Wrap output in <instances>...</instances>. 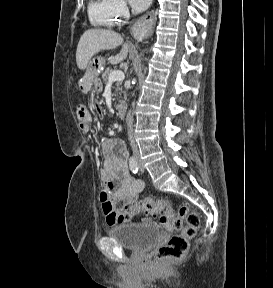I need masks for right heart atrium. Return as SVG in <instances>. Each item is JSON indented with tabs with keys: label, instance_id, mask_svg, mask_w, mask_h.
<instances>
[{
	"label": "right heart atrium",
	"instance_id": "right-heart-atrium-1",
	"mask_svg": "<svg viewBox=\"0 0 273 288\" xmlns=\"http://www.w3.org/2000/svg\"><path fill=\"white\" fill-rule=\"evenodd\" d=\"M110 3L117 19L120 22L129 18L130 9L125 0H110Z\"/></svg>",
	"mask_w": 273,
	"mask_h": 288
}]
</instances>
